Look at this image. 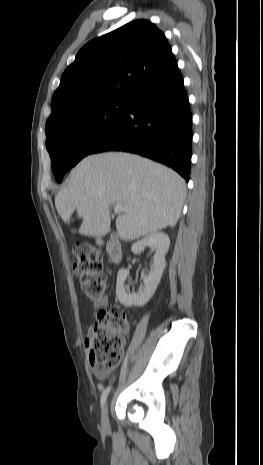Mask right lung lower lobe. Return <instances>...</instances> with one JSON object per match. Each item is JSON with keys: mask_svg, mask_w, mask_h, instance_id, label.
Wrapping results in <instances>:
<instances>
[{"mask_svg": "<svg viewBox=\"0 0 263 465\" xmlns=\"http://www.w3.org/2000/svg\"><path fill=\"white\" fill-rule=\"evenodd\" d=\"M192 114L178 67L138 89L124 118L92 153L126 151L161 162L188 181Z\"/></svg>", "mask_w": 263, "mask_h": 465, "instance_id": "right-lung-lower-lobe-1", "label": "right lung lower lobe"}]
</instances>
